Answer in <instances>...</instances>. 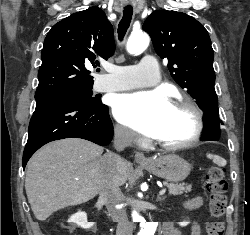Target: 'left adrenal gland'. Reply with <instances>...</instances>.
<instances>
[{
    "label": "left adrenal gland",
    "mask_w": 250,
    "mask_h": 235,
    "mask_svg": "<svg viewBox=\"0 0 250 235\" xmlns=\"http://www.w3.org/2000/svg\"><path fill=\"white\" fill-rule=\"evenodd\" d=\"M164 199H165L164 197H162V198H161V197H158L157 201H160V202H161V201H163Z\"/></svg>",
    "instance_id": "a2214340"
}]
</instances>
